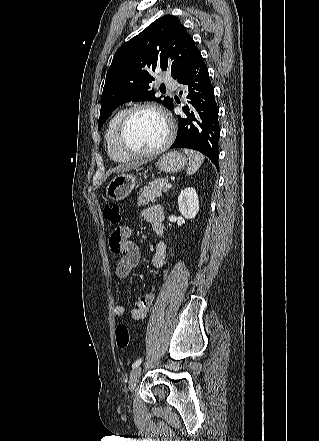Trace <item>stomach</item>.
Segmentation results:
<instances>
[{
	"label": "stomach",
	"mask_w": 319,
	"mask_h": 441,
	"mask_svg": "<svg viewBox=\"0 0 319 441\" xmlns=\"http://www.w3.org/2000/svg\"><path fill=\"white\" fill-rule=\"evenodd\" d=\"M187 159L179 151H170L163 155L157 163L160 171L166 173H176L184 168ZM136 178L131 173H119L113 177L107 187L106 196L113 201L126 198L135 188Z\"/></svg>",
	"instance_id": "stomach-1"
}]
</instances>
